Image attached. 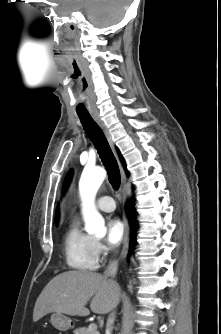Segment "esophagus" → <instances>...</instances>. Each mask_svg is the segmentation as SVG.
I'll list each match as a JSON object with an SVG mask.
<instances>
[{
	"label": "esophagus",
	"mask_w": 221,
	"mask_h": 334,
	"mask_svg": "<svg viewBox=\"0 0 221 334\" xmlns=\"http://www.w3.org/2000/svg\"><path fill=\"white\" fill-rule=\"evenodd\" d=\"M92 117L96 121V123L99 125V127L102 129V131L104 132V135L106 136L112 150L116 154L114 143H113V140H112V137H111V134H110L108 128L106 127L104 122L101 120L99 115L93 114ZM120 170H121V177H122L121 193H122V197H123V202L125 203V200H126V191H125L126 175H125V172H124L121 165H120ZM123 224H124V228H125V234H124V239H123V248H122V252H121V258H124L126 256V254L128 252V247H129V224H128V219L126 217L125 212L123 214Z\"/></svg>",
	"instance_id": "1"
}]
</instances>
